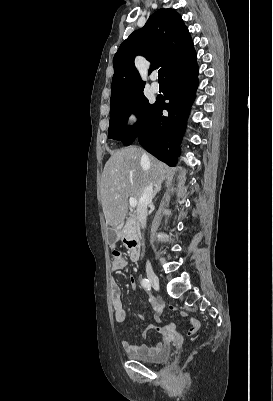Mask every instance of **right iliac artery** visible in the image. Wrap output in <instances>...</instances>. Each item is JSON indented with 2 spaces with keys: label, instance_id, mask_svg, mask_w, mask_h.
<instances>
[{
  "label": "right iliac artery",
  "instance_id": "82829eb1",
  "mask_svg": "<svg viewBox=\"0 0 273 401\" xmlns=\"http://www.w3.org/2000/svg\"><path fill=\"white\" fill-rule=\"evenodd\" d=\"M141 284L147 290L151 289V283H150V281L148 279H146V278L142 279Z\"/></svg>",
  "mask_w": 273,
  "mask_h": 401
}]
</instances>
